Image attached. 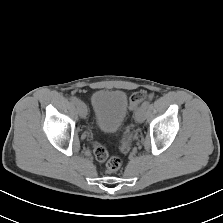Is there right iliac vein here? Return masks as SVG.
Segmentation results:
<instances>
[{"instance_id": "right-iliac-vein-1", "label": "right iliac vein", "mask_w": 223, "mask_h": 223, "mask_svg": "<svg viewBox=\"0 0 223 223\" xmlns=\"http://www.w3.org/2000/svg\"><path fill=\"white\" fill-rule=\"evenodd\" d=\"M76 105H77L80 116L82 118H86L87 113H88L86 105L82 101H78Z\"/></svg>"}]
</instances>
